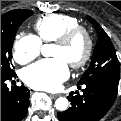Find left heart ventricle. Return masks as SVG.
I'll return each instance as SVG.
<instances>
[{
  "label": "left heart ventricle",
  "mask_w": 121,
  "mask_h": 121,
  "mask_svg": "<svg viewBox=\"0 0 121 121\" xmlns=\"http://www.w3.org/2000/svg\"><path fill=\"white\" fill-rule=\"evenodd\" d=\"M85 39L83 36H77L70 44L63 46L55 44L53 50L54 57H62L67 63L79 60L85 51Z\"/></svg>",
  "instance_id": "1"
}]
</instances>
